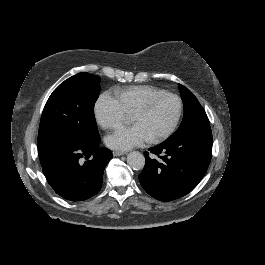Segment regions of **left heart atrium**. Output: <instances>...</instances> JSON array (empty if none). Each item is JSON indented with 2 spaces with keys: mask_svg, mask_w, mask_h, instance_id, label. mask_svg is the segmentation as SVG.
Here are the masks:
<instances>
[{
  "mask_svg": "<svg viewBox=\"0 0 265 265\" xmlns=\"http://www.w3.org/2000/svg\"><path fill=\"white\" fill-rule=\"evenodd\" d=\"M143 126L135 125L129 128H121L105 138L107 146L114 150L126 151L138 147L150 140Z\"/></svg>",
  "mask_w": 265,
  "mask_h": 265,
  "instance_id": "39dd6f15",
  "label": "left heart atrium"
}]
</instances>
